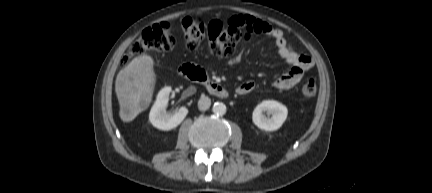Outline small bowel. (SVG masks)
Returning <instances> with one entry per match:
<instances>
[{
	"label": "small bowel",
	"instance_id": "1",
	"mask_svg": "<svg viewBox=\"0 0 432 193\" xmlns=\"http://www.w3.org/2000/svg\"><path fill=\"white\" fill-rule=\"evenodd\" d=\"M228 23L245 29L247 36L263 34L273 38L278 55L289 66L288 71L274 82L273 85L276 89L288 90L293 88L301 81L304 74L314 66L313 59L309 55L295 51L287 42L283 31L267 22L250 15H239L229 18ZM241 59L242 55L238 54L228 61V65H237ZM254 88L255 83L253 81H245L237 86L236 93L245 95L253 91Z\"/></svg>",
	"mask_w": 432,
	"mask_h": 193
}]
</instances>
